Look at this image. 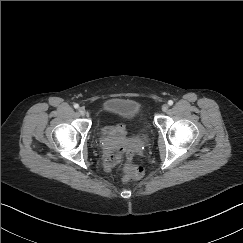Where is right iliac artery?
Segmentation results:
<instances>
[{
	"instance_id": "right-iliac-artery-1",
	"label": "right iliac artery",
	"mask_w": 243,
	"mask_h": 243,
	"mask_svg": "<svg viewBox=\"0 0 243 243\" xmlns=\"http://www.w3.org/2000/svg\"><path fill=\"white\" fill-rule=\"evenodd\" d=\"M74 108H79V105L77 103L74 104Z\"/></svg>"
}]
</instances>
